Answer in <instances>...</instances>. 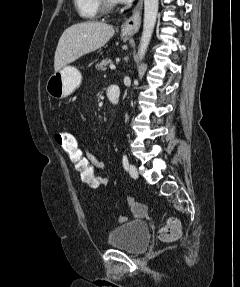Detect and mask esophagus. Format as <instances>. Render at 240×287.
<instances>
[{
    "label": "esophagus",
    "mask_w": 240,
    "mask_h": 287,
    "mask_svg": "<svg viewBox=\"0 0 240 287\" xmlns=\"http://www.w3.org/2000/svg\"><path fill=\"white\" fill-rule=\"evenodd\" d=\"M142 5L143 0H139L132 15L122 24L121 33L123 35L132 36L138 31L141 24Z\"/></svg>",
    "instance_id": "1"
}]
</instances>
